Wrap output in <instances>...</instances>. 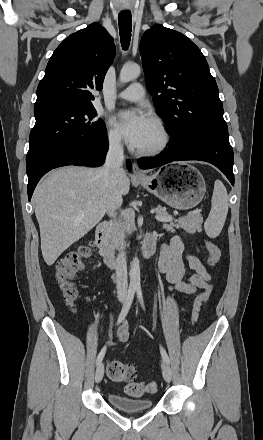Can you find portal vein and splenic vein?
Listing matches in <instances>:
<instances>
[{
    "label": "portal vein and splenic vein",
    "instance_id": "18ae733b",
    "mask_svg": "<svg viewBox=\"0 0 263 440\" xmlns=\"http://www.w3.org/2000/svg\"><path fill=\"white\" fill-rule=\"evenodd\" d=\"M122 215L125 218H131L132 213L129 210H123L122 211ZM155 219L160 221V222H171L174 220V218L172 216H162V215H156Z\"/></svg>",
    "mask_w": 263,
    "mask_h": 440
}]
</instances>
